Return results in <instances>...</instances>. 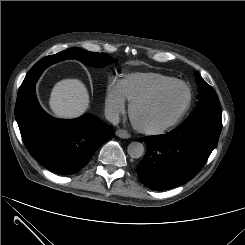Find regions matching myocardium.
Wrapping results in <instances>:
<instances>
[{
    "label": "myocardium",
    "instance_id": "f54148a6",
    "mask_svg": "<svg viewBox=\"0 0 245 245\" xmlns=\"http://www.w3.org/2000/svg\"><path fill=\"white\" fill-rule=\"evenodd\" d=\"M174 85H182L186 88L188 96H187V101L184 105V107L182 108V110L179 112V114L169 123L160 126V127H146L141 125L137 119H136V111L137 109L147 103L150 102L152 100H154L155 98H157L158 96H160L163 92H165L167 89H169L170 87L174 86ZM192 99H193V95H192V91L191 88L188 84H186L185 82L181 81V80H172L166 84H163L157 88H155L154 90L140 96L139 98L135 99L131 105H130V110H129V114H130V119L131 122L133 124V126L141 133L147 134V135H162L165 134L169 131H171L172 129H174L185 117V115L187 114V112L189 111L191 104H192Z\"/></svg>",
    "mask_w": 245,
    "mask_h": 245
}]
</instances>
